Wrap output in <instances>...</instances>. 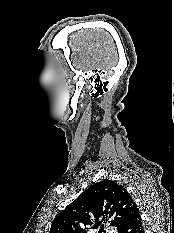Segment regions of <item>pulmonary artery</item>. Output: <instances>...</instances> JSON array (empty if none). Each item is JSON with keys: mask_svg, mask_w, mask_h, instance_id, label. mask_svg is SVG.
I'll return each instance as SVG.
<instances>
[{"mask_svg": "<svg viewBox=\"0 0 174 233\" xmlns=\"http://www.w3.org/2000/svg\"><path fill=\"white\" fill-rule=\"evenodd\" d=\"M108 233H114V231L113 230H109Z\"/></svg>", "mask_w": 174, "mask_h": 233, "instance_id": "e3ab8cb5", "label": "pulmonary artery"}]
</instances>
